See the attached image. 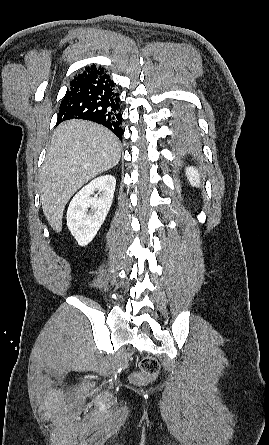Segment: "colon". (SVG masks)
Segmentation results:
<instances>
[{"label": "colon", "instance_id": "obj_1", "mask_svg": "<svg viewBox=\"0 0 269 445\" xmlns=\"http://www.w3.org/2000/svg\"><path fill=\"white\" fill-rule=\"evenodd\" d=\"M140 372L132 375V381L137 384L146 383L154 379L159 373V363L151 356H144L140 360Z\"/></svg>", "mask_w": 269, "mask_h": 445}]
</instances>
